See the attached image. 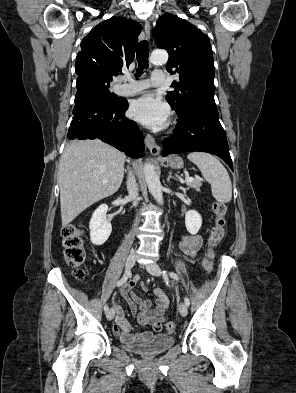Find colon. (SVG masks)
Returning <instances> with one entry per match:
<instances>
[{"label":"colon","instance_id":"1","mask_svg":"<svg viewBox=\"0 0 296 393\" xmlns=\"http://www.w3.org/2000/svg\"><path fill=\"white\" fill-rule=\"evenodd\" d=\"M212 210L215 215V221L202 260V266L207 272H211L213 269V250L225 235L227 206L225 203L217 201L213 203ZM62 246L65 261L75 269L74 273L78 279L83 278L84 270L82 265L86 259V251L82 231L76 224H68L62 229ZM166 327L172 331L175 329V323L170 321Z\"/></svg>","mask_w":296,"mask_h":393}]
</instances>
